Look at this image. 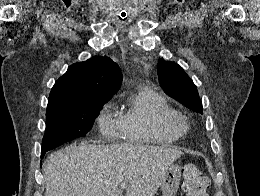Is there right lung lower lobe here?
I'll return each instance as SVG.
<instances>
[{"mask_svg":"<svg viewBox=\"0 0 260 196\" xmlns=\"http://www.w3.org/2000/svg\"><path fill=\"white\" fill-rule=\"evenodd\" d=\"M47 151H49V150H48V149H42V150H41V158L44 157V154H45Z\"/></svg>","mask_w":260,"mask_h":196,"instance_id":"obj_1","label":"right lung lower lobe"}]
</instances>
